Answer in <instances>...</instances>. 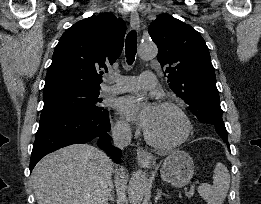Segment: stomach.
<instances>
[{"label":"stomach","instance_id":"obj_1","mask_svg":"<svg viewBox=\"0 0 261 204\" xmlns=\"http://www.w3.org/2000/svg\"><path fill=\"white\" fill-rule=\"evenodd\" d=\"M160 172L165 182L175 187H183L194 175V163L185 151H173L164 160Z\"/></svg>","mask_w":261,"mask_h":204}]
</instances>
